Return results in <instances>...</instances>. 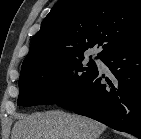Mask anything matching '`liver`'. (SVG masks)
I'll return each mask as SVG.
<instances>
[{
  "mask_svg": "<svg viewBox=\"0 0 141 139\" xmlns=\"http://www.w3.org/2000/svg\"><path fill=\"white\" fill-rule=\"evenodd\" d=\"M106 126L96 120L60 110L20 115L11 139H99Z\"/></svg>",
  "mask_w": 141,
  "mask_h": 139,
  "instance_id": "1",
  "label": "liver"
}]
</instances>
